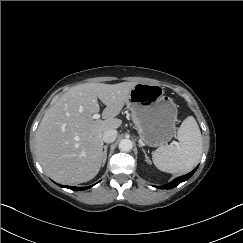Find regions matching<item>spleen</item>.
Instances as JSON below:
<instances>
[{
  "label": "spleen",
  "mask_w": 243,
  "mask_h": 243,
  "mask_svg": "<svg viewBox=\"0 0 243 243\" xmlns=\"http://www.w3.org/2000/svg\"><path fill=\"white\" fill-rule=\"evenodd\" d=\"M178 145L157 148L152 155L154 165L167 173H187L202 155V137L194 117L184 119L177 133Z\"/></svg>",
  "instance_id": "obj_1"
}]
</instances>
